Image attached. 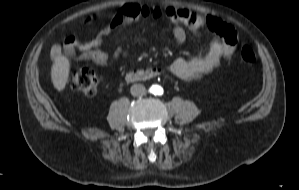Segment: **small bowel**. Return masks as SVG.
I'll return each instance as SVG.
<instances>
[{
	"mask_svg": "<svg viewBox=\"0 0 299 190\" xmlns=\"http://www.w3.org/2000/svg\"><path fill=\"white\" fill-rule=\"evenodd\" d=\"M165 13L176 25L174 38L179 44L186 40V30L182 24L192 31H197L201 26L206 25L218 35L205 56L192 59L178 57L171 63L169 70L178 78L187 81L198 79L213 71L222 58H228L233 54L237 43V33L231 25L213 16H198L187 8L169 6L165 9ZM162 14L163 10L160 7L124 3L112 15L110 24L92 40L81 42L74 36H68L63 45L55 44L51 47V57L59 58L63 54H68L78 60H91L97 64L106 65L111 60L119 58L122 53L121 48L117 47L110 57L102 49L104 39L113 29L131 24L142 17L156 19Z\"/></svg>",
	"mask_w": 299,
	"mask_h": 190,
	"instance_id": "c3829d8e",
	"label": "small bowel"
}]
</instances>
